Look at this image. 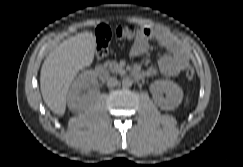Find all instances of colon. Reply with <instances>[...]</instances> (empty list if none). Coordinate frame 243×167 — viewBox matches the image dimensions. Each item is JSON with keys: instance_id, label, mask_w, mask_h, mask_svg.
<instances>
[{"instance_id": "1", "label": "colon", "mask_w": 243, "mask_h": 167, "mask_svg": "<svg viewBox=\"0 0 243 167\" xmlns=\"http://www.w3.org/2000/svg\"><path fill=\"white\" fill-rule=\"evenodd\" d=\"M140 27L136 25H121L116 27L115 34L119 39L131 40L134 39ZM111 29L107 25H100L96 30V55L98 58H105L108 54L109 43L111 39ZM185 76L187 79L191 80L195 76V71L193 67L188 66L185 70Z\"/></svg>"}]
</instances>
